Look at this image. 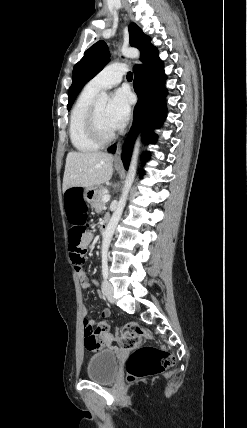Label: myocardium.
Instances as JSON below:
<instances>
[{"label":"myocardium","instance_id":"obj_1","mask_svg":"<svg viewBox=\"0 0 247 428\" xmlns=\"http://www.w3.org/2000/svg\"><path fill=\"white\" fill-rule=\"evenodd\" d=\"M97 104L98 103L94 102L89 109L86 117V128L93 140H95L100 145H105L113 141L117 134L114 131L109 135H104L100 131L97 123Z\"/></svg>","mask_w":247,"mask_h":428}]
</instances>
